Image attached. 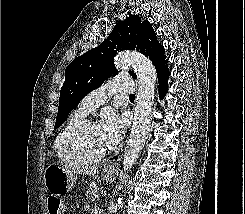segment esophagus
<instances>
[{
    "label": "esophagus",
    "mask_w": 245,
    "mask_h": 214,
    "mask_svg": "<svg viewBox=\"0 0 245 214\" xmlns=\"http://www.w3.org/2000/svg\"><path fill=\"white\" fill-rule=\"evenodd\" d=\"M114 165H116V163L112 164L111 166L113 167Z\"/></svg>",
    "instance_id": "esophagus-1"
}]
</instances>
